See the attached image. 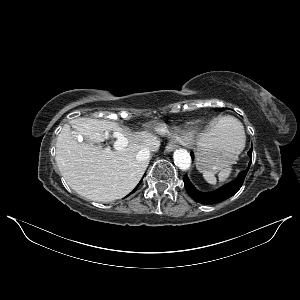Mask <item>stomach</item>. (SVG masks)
I'll return each instance as SVG.
<instances>
[{
	"mask_svg": "<svg viewBox=\"0 0 300 300\" xmlns=\"http://www.w3.org/2000/svg\"><path fill=\"white\" fill-rule=\"evenodd\" d=\"M219 123L214 125L218 126ZM224 134L213 136L207 141L199 142L196 166L199 171L216 173L234 164L243 150L239 138L223 127Z\"/></svg>",
	"mask_w": 300,
	"mask_h": 300,
	"instance_id": "1",
	"label": "stomach"
}]
</instances>
